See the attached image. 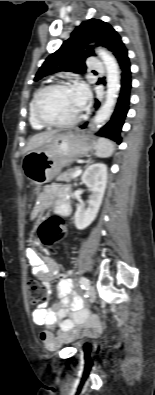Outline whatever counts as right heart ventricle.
<instances>
[{
    "instance_id": "right-heart-ventricle-1",
    "label": "right heart ventricle",
    "mask_w": 155,
    "mask_h": 395,
    "mask_svg": "<svg viewBox=\"0 0 155 395\" xmlns=\"http://www.w3.org/2000/svg\"><path fill=\"white\" fill-rule=\"evenodd\" d=\"M37 92H38V90L34 93L32 99H31V101H30V103H29V122H30V125L32 126L33 129H35V130H41V129L44 128V126L40 125V124L36 121V119H35L34 116H33V112H32V104H33V100H34V97H35V95H36Z\"/></svg>"
}]
</instances>
